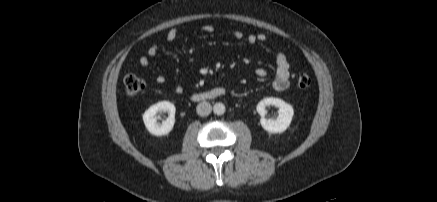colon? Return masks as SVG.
Wrapping results in <instances>:
<instances>
[{"mask_svg":"<svg viewBox=\"0 0 437 202\" xmlns=\"http://www.w3.org/2000/svg\"><path fill=\"white\" fill-rule=\"evenodd\" d=\"M311 83L312 80L308 74L303 73L299 75L297 80L299 88L308 89L311 86ZM124 86L126 93L133 96L142 93L147 87V82L135 74H128L124 78Z\"/></svg>","mask_w":437,"mask_h":202,"instance_id":"colon-1","label":"colon"}]
</instances>
